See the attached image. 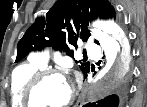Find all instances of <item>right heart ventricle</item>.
Here are the masks:
<instances>
[{
  "label": "right heart ventricle",
  "instance_id": "1",
  "mask_svg": "<svg viewBox=\"0 0 147 107\" xmlns=\"http://www.w3.org/2000/svg\"><path fill=\"white\" fill-rule=\"evenodd\" d=\"M44 67L45 65L32 59L13 70L10 80V99L13 107H25L23 103L24 90L31 78Z\"/></svg>",
  "mask_w": 147,
  "mask_h": 107
}]
</instances>
